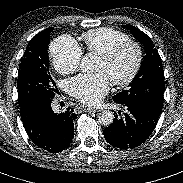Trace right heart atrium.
I'll list each match as a JSON object with an SVG mask.
<instances>
[{
	"instance_id": "d8ad5b80",
	"label": "right heart atrium",
	"mask_w": 183,
	"mask_h": 183,
	"mask_svg": "<svg viewBox=\"0 0 183 183\" xmlns=\"http://www.w3.org/2000/svg\"><path fill=\"white\" fill-rule=\"evenodd\" d=\"M50 51L53 65L59 73L67 75L79 68L82 49L72 37L68 35L58 37L51 44Z\"/></svg>"
}]
</instances>
